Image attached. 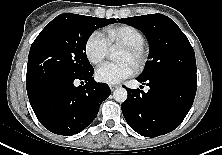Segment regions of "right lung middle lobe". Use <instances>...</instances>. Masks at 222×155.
Returning <instances> with one entry per match:
<instances>
[{"instance_id":"1","label":"right lung middle lobe","mask_w":222,"mask_h":155,"mask_svg":"<svg viewBox=\"0 0 222 155\" xmlns=\"http://www.w3.org/2000/svg\"><path fill=\"white\" fill-rule=\"evenodd\" d=\"M115 22L113 18L72 13L54 18L32 43L27 65V93L90 71L93 67L86 56L88 38L96 29Z\"/></svg>"}]
</instances>
